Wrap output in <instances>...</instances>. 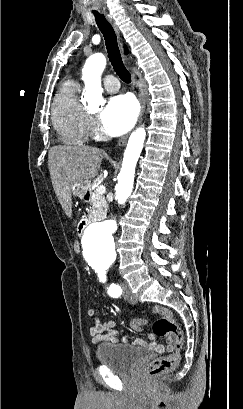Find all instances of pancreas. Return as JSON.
I'll list each match as a JSON object with an SVG mask.
<instances>
[{"instance_id": "pancreas-1", "label": "pancreas", "mask_w": 243, "mask_h": 409, "mask_svg": "<svg viewBox=\"0 0 243 409\" xmlns=\"http://www.w3.org/2000/svg\"><path fill=\"white\" fill-rule=\"evenodd\" d=\"M98 183V179L94 180L93 186ZM91 207L90 218L93 220H102L106 217L108 204L102 194H99L95 189L91 192Z\"/></svg>"}]
</instances>
